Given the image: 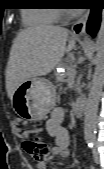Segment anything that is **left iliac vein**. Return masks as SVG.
Instances as JSON below:
<instances>
[{
	"instance_id": "left-iliac-vein-1",
	"label": "left iliac vein",
	"mask_w": 104,
	"mask_h": 169,
	"mask_svg": "<svg viewBox=\"0 0 104 169\" xmlns=\"http://www.w3.org/2000/svg\"><path fill=\"white\" fill-rule=\"evenodd\" d=\"M93 160L95 163H99V153L96 148L93 151Z\"/></svg>"
}]
</instances>
